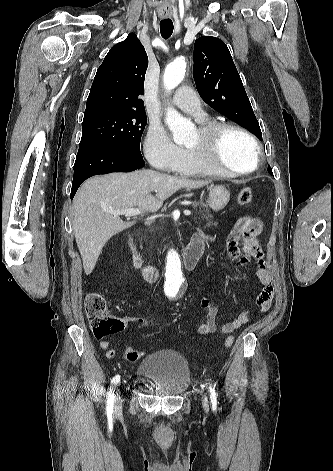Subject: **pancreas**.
I'll return each instance as SVG.
<instances>
[{"label": "pancreas", "instance_id": "1", "mask_svg": "<svg viewBox=\"0 0 333 471\" xmlns=\"http://www.w3.org/2000/svg\"><path fill=\"white\" fill-rule=\"evenodd\" d=\"M205 207H206V205L203 204V203H197V202H195V203L193 204V208H194V209H197V208L200 209L201 218H202L203 220L205 219V220L207 221L205 227H210L211 225L214 224V222H213V220H212V215L210 214V212H209L208 209H205ZM201 208H204L205 213H203V211L201 210ZM195 219L197 220V218H195ZM198 219H200V218H198ZM196 223H201V222L196 221Z\"/></svg>", "mask_w": 333, "mask_h": 471}]
</instances>
